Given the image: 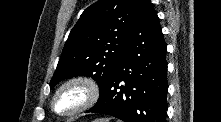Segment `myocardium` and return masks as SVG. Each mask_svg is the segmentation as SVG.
I'll return each instance as SVG.
<instances>
[{"label": "myocardium", "mask_w": 221, "mask_h": 122, "mask_svg": "<svg viewBox=\"0 0 221 122\" xmlns=\"http://www.w3.org/2000/svg\"><path fill=\"white\" fill-rule=\"evenodd\" d=\"M79 88L83 91L84 98L79 106L70 111L61 112L56 108V101L62 92L69 88ZM100 96V88L97 82L88 76L78 75L73 76L65 81H63L55 90L52 98H51V109L52 111L61 117H71L78 115L89 108H91L98 101Z\"/></svg>", "instance_id": "f54148a6"}]
</instances>
